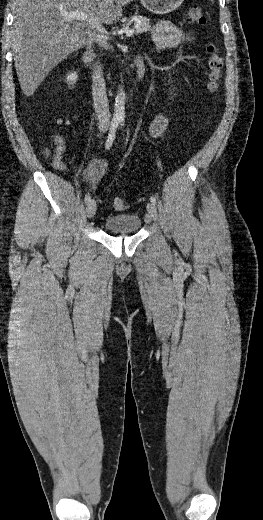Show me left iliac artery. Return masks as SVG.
<instances>
[{
    "label": "left iliac artery",
    "instance_id": "1",
    "mask_svg": "<svg viewBox=\"0 0 263 520\" xmlns=\"http://www.w3.org/2000/svg\"><path fill=\"white\" fill-rule=\"evenodd\" d=\"M123 125H124V124H123V122L121 121V126H123ZM150 201H151V203H152L153 205H156V198H155L154 196H151V197H150Z\"/></svg>",
    "mask_w": 263,
    "mask_h": 520
}]
</instances>
